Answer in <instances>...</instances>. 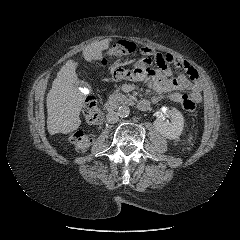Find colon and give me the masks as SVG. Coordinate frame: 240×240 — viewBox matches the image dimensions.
<instances>
[{"instance_id":"colon-1","label":"colon","mask_w":240,"mask_h":240,"mask_svg":"<svg viewBox=\"0 0 240 240\" xmlns=\"http://www.w3.org/2000/svg\"><path fill=\"white\" fill-rule=\"evenodd\" d=\"M135 44L129 40H118L107 51L108 56H125L135 51ZM181 105L183 110L192 114L196 109L195 101L188 95H182ZM84 114L87 120L93 125H99L102 121V111L94 98H88L86 101ZM69 140L75 146L78 151L87 150L93 137L91 134L82 130H74L69 134Z\"/></svg>"}]
</instances>
